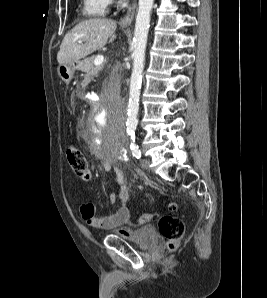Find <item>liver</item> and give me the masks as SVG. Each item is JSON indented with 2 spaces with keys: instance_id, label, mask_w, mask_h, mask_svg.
I'll list each match as a JSON object with an SVG mask.
<instances>
[{
  "instance_id": "liver-1",
  "label": "liver",
  "mask_w": 267,
  "mask_h": 298,
  "mask_svg": "<svg viewBox=\"0 0 267 298\" xmlns=\"http://www.w3.org/2000/svg\"><path fill=\"white\" fill-rule=\"evenodd\" d=\"M116 22L111 19L92 18L76 25L68 32L57 54L59 65L79 61L92 52L104 47L115 38ZM82 40L84 43H78Z\"/></svg>"
}]
</instances>
